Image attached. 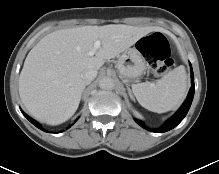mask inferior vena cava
<instances>
[{
  "instance_id": "1",
  "label": "inferior vena cava",
  "mask_w": 219,
  "mask_h": 174,
  "mask_svg": "<svg viewBox=\"0 0 219 174\" xmlns=\"http://www.w3.org/2000/svg\"><path fill=\"white\" fill-rule=\"evenodd\" d=\"M96 76H97L96 70L88 69L83 73L82 78H83L85 84H89Z\"/></svg>"
}]
</instances>
